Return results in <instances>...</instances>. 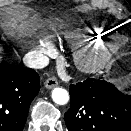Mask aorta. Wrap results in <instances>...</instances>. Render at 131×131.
<instances>
[{"label": "aorta", "instance_id": "1", "mask_svg": "<svg viewBox=\"0 0 131 131\" xmlns=\"http://www.w3.org/2000/svg\"><path fill=\"white\" fill-rule=\"evenodd\" d=\"M52 99L58 105H65L69 101V94L63 88H54L52 91Z\"/></svg>", "mask_w": 131, "mask_h": 131}]
</instances>
